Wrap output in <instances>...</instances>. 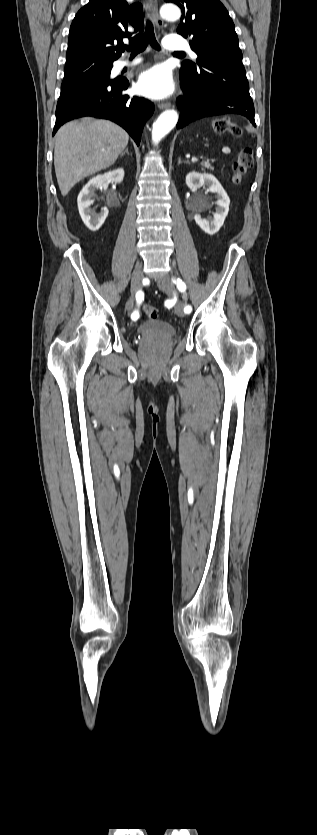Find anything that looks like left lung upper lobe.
I'll use <instances>...</instances> for the list:
<instances>
[{"mask_svg":"<svg viewBox=\"0 0 317 835\" xmlns=\"http://www.w3.org/2000/svg\"><path fill=\"white\" fill-rule=\"evenodd\" d=\"M182 10L177 33L191 36L189 42L198 55L197 65L191 61L181 64L180 73L194 71L200 64L213 59H242L235 26L228 11L218 0H165Z\"/></svg>","mask_w":317,"mask_h":835,"instance_id":"obj_1","label":"left lung upper lobe"}]
</instances>
